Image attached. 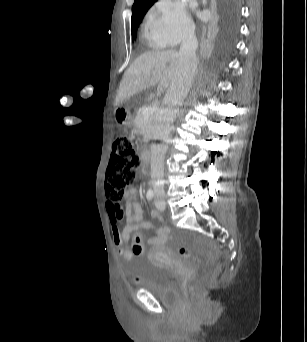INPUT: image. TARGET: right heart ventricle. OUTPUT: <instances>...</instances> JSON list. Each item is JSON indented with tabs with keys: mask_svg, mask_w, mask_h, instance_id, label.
<instances>
[{
	"mask_svg": "<svg viewBox=\"0 0 307 342\" xmlns=\"http://www.w3.org/2000/svg\"><path fill=\"white\" fill-rule=\"evenodd\" d=\"M140 42L143 46L142 49L145 53L156 52L162 48L160 44L156 43L143 33L140 35Z\"/></svg>",
	"mask_w": 307,
	"mask_h": 342,
	"instance_id": "e07e8e85",
	"label": "right heart ventricle"
}]
</instances>
